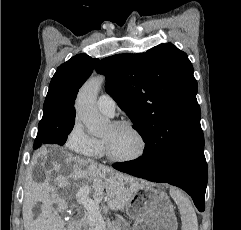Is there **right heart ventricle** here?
I'll return each mask as SVG.
<instances>
[{"label": "right heart ventricle", "instance_id": "right-heart-ventricle-1", "mask_svg": "<svg viewBox=\"0 0 241 230\" xmlns=\"http://www.w3.org/2000/svg\"><path fill=\"white\" fill-rule=\"evenodd\" d=\"M97 141H98V150H97V153L95 154V156H101L104 153L103 142H101L99 140H97Z\"/></svg>", "mask_w": 241, "mask_h": 230}]
</instances>
